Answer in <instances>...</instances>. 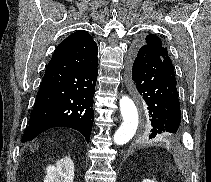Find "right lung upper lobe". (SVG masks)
I'll return each mask as SVG.
<instances>
[{"mask_svg": "<svg viewBox=\"0 0 211 182\" xmlns=\"http://www.w3.org/2000/svg\"><path fill=\"white\" fill-rule=\"evenodd\" d=\"M85 34H87L86 31L80 30V31L72 33L67 39H75V38H78V37L83 36Z\"/></svg>", "mask_w": 211, "mask_h": 182, "instance_id": "right-lung-upper-lobe-1", "label": "right lung upper lobe"}]
</instances>
